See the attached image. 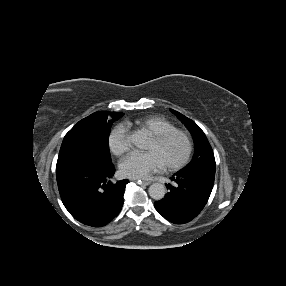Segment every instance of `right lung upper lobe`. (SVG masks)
Listing matches in <instances>:
<instances>
[{"label":"right lung upper lobe","mask_w":286,"mask_h":286,"mask_svg":"<svg viewBox=\"0 0 286 286\" xmlns=\"http://www.w3.org/2000/svg\"><path fill=\"white\" fill-rule=\"evenodd\" d=\"M104 111H101V112H96V114H101V113H103Z\"/></svg>","instance_id":"obj_1"}]
</instances>
